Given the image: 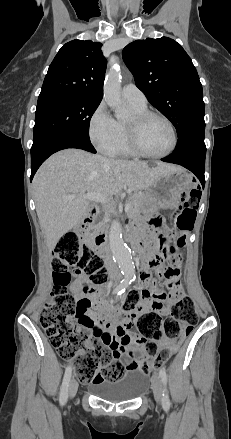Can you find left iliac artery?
Segmentation results:
<instances>
[{
    "instance_id": "1",
    "label": "left iliac artery",
    "mask_w": 231,
    "mask_h": 439,
    "mask_svg": "<svg viewBox=\"0 0 231 439\" xmlns=\"http://www.w3.org/2000/svg\"><path fill=\"white\" fill-rule=\"evenodd\" d=\"M159 375L161 377L162 383L164 385V391H163V399H162V405L165 409H168L170 407V399L168 396V392L166 389V384H167V375L166 372L163 368L160 369L159 371Z\"/></svg>"
}]
</instances>
